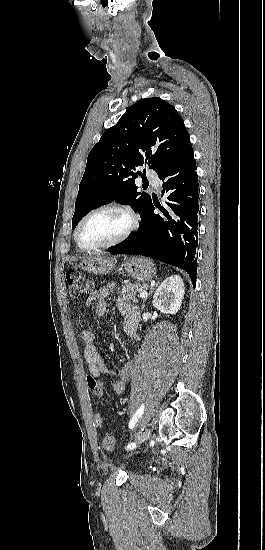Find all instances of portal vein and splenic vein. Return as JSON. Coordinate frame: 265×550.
<instances>
[{
	"label": "portal vein and splenic vein",
	"mask_w": 265,
	"mask_h": 550,
	"mask_svg": "<svg viewBox=\"0 0 265 550\" xmlns=\"http://www.w3.org/2000/svg\"><path fill=\"white\" fill-rule=\"evenodd\" d=\"M147 296H148V293L146 291L141 292L139 295V297L142 299L147 298Z\"/></svg>",
	"instance_id": "obj_1"
}]
</instances>
